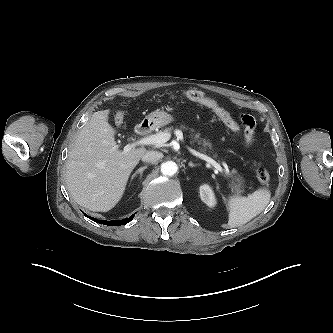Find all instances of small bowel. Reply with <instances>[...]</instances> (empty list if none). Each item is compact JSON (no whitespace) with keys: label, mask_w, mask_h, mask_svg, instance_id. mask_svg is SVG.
Returning a JSON list of instances; mask_svg holds the SVG:
<instances>
[{"label":"small bowel","mask_w":333,"mask_h":333,"mask_svg":"<svg viewBox=\"0 0 333 333\" xmlns=\"http://www.w3.org/2000/svg\"><path fill=\"white\" fill-rule=\"evenodd\" d=\"M207 97H209L214 102H216L218 105H220V102L217 101L216 99H214L210 96H207ZM239 118H240L242 124L245 126V130H246V132H245V142L248 143L251 140L252 130L254 128L255 121H254L252 116H250L249 114H246V113L239 114Z\"/></svg>","instance_id":"1"}]
</instances>
